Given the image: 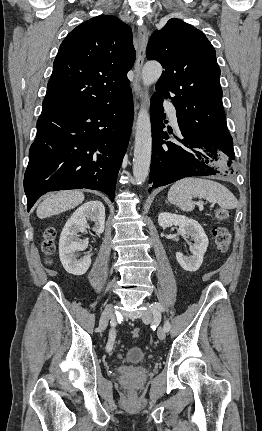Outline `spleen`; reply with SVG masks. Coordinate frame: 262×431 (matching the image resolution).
<instances>
[{"instance_id": "3e777b00", "label": "spleen", "mask_w": 262, "mask_h": 431, "mask_svg": "<svg viewBox=\"0 0 262 431\" xmlns=\"http://www.w3.org/2000/svg\"><path fill=\"white\" fill-rule=\"evenodd\" d=\"M201 197L208 202H216L221 208L234 209L238 202L224 185L209 179L188 177L175 182L169 192L168 201L181 210L190 212L195 204L192 198Z\"/></svg>"}]
</instances>
